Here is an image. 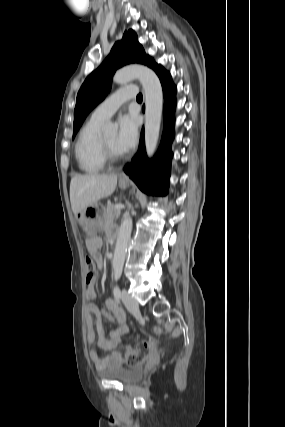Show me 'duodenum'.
I'll list each match as a JSON object with an SVG mask.
<instances>
[{"label": "duodenum", "instance_id": "duodenum-1", "mask_svg": "<svg viewBox=\"0 0 285 427\" xmlns=\"http://www.w3.org/2000/svg\"><path fill=\"white\" fill-rule=\"evenodd\" d=\"M110 240H111V242H114L116 240V236L114 234H111Z\"/></svg>", "mask_w": 285, "mask_h": 427}]
</instances>
